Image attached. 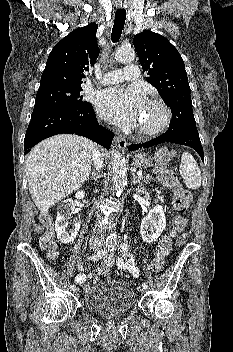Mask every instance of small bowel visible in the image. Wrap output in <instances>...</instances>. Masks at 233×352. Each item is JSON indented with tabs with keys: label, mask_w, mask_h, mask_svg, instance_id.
Instances as JSON below:
<instances>
[{
	"label": "small bowel",
	"mask_w": 233,
	"mask_h": 352,
	"mask_svg": "<svg viewBox=\"0 0 233 352\" xmlns=\"http://www.w3.org/2000/svg\"><path fill=\"white\" fill-rule=\"evenodd\" d=\"M116 265L120 270L128 272L134 277L139 276V269L136 265L135 258L130 251V246L128 243H124L123 245H121L120 254L116 258ZM78 268L80 271H84L85 265L83 263H79ZM86 280L87 278L84 273L78 274L75 278L76 283L84 285L86 288H89V285L86 283Z\"/></svg>",
	"instance_id": "1"
}]
</instances>
